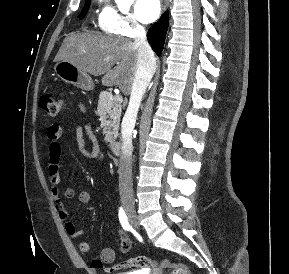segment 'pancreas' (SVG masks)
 Here are the masks:
<instances>
[{
	"label": "pancreas",
	"instance_id": "obj_1",
	"mask_svg": "<svg viewBox=\"0 0 289 274\" xmlns=\"http://www.w3.org/2000/svg\"><path fill=\"white\" fill-rule=\"evenodd\" d=\"M97 109L105 141L112 143L118 136L122 112L121 102L111 93L103 91L100 93Z\"/></svg>",
	"mask_w": 289,
	"mask_h": 274
}]
</instances>
